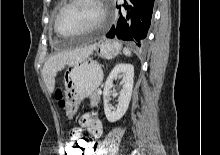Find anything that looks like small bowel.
<instances>
[{
	"mask_svg": "<svg viewBox=\"0 0 220 155\" xmlns=\"http://www.w3.org/2000/svg\"><path fill=\"white\" fill-rule=\"evenodd\" d=\"M81 128H75L71 132V139H86L83 136V130L85 129L91 138L99 139L103 133L102 123L94 114H85L80 120ZM96 150V144H92L89 155H93Z\"/></svg>",
	"mask_w": 220,
	"mask_h": 155,
	"instance_id": "small-bowel-1",
	"label": "small bowel"
}]
</instances>
